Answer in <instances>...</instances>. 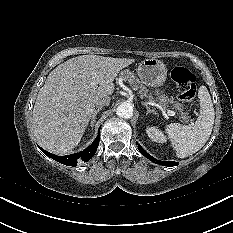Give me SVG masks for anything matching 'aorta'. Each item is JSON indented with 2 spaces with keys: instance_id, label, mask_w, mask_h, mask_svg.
<instances>
[{
  "instance_id": "1",
  "label": "aorta",
  "mask_w": 233,
  "mask_h": 233,
  "mask_svg": "<svg viewBox=\"0 0 233 233\" xmlns=\"http://www.w3.org/2000/svg\"><path fill=\"white\" fill-rule=\"evenodd\" d=\"M133 105L129 102H124L117 107L116 114L121 118H131L133 116Z\"/></svg>"
}]
</instances>
